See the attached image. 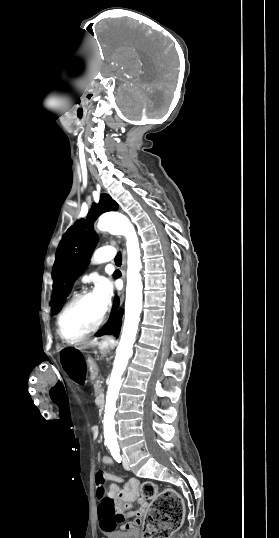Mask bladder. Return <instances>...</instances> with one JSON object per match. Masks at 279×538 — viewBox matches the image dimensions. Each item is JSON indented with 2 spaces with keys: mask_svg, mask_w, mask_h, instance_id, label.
Instances as JSON below:
<instances>
[{
  "mask_svg": "<svg viewBox=\"0 0 279 538\" xmlns=\"http://www.w3.org/2000/svg\"><path fill=\"white\" fill-rule=\"evenodd\" d=\"M107 538H139L138 532H108Z\"/></svg>",
  "mask_w": 279,
  "mask_h": 538,
  "instance_id": "1",
  "label": "bladder"
}]
</instances>
